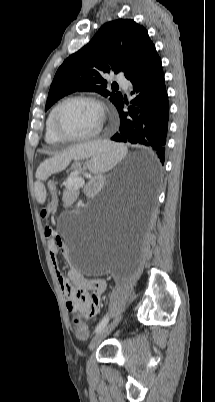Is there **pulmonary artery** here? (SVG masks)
I'll list each match as a JSON object with an SVG mask.
<instances>
[{
  "label": "pulmonary artery",
  "instance_id": "e3ab8cb5",
  "mask_svg": "<svg viewBox=\"0 0 215 402\" xmlns=\"http://www.w3.org/2000/svg\"><path fill=\"white\" fill-rule=\"evenodd\" d=\"M116 81L122 85L123 87L127 88L129 85V82L127 81V79H125L123 76L118 75L116 78Z\"/></svg>",
  "mask_w": 215,
  "mask_h": 402
}]
</instances>
